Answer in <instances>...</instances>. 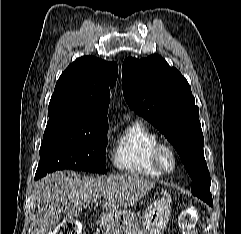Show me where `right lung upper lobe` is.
Wrapping results in <instances>:
<instances>
[{
	"label": "right lung upper lobe",
	"mask_w": 241,
	"mask_h": 234,
	"mask_svg": "<svg viewBox=\"0 0 241 234\" xmlns=\"http://www.w3.org/2000/svg\"><path fill=\"white\" fill-rule=\"evenodd\" d=\"M118 66L93 56L76 59L61 74L49 110L74 113L81 122L108 125L109 88L116 83Z\"/></svg>",
	"instance_id": "cb5924a9"
}]
</instances>
